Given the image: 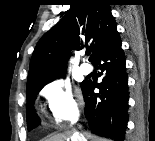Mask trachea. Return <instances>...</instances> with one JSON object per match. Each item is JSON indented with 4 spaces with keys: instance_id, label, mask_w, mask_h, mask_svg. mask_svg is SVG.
<instances>
[{
    "instance_id": "trachea-1",
    "label": "trachea",
    "mask_w": 155,
    "mask_h": 141,
    "mask_svg": "<svg viewBox=\"0 0 155 141\" xmlns=\"http://www.w3.org/2000/svg\"><path fill=\"white\" fill-rule=\"evenodd\" d=\"M90 52H91V51H87V55H89V54H90Z\"/></svg>"
}]
</instances>
